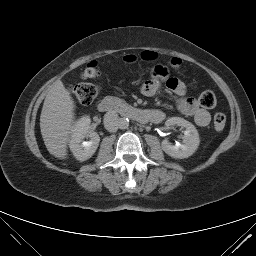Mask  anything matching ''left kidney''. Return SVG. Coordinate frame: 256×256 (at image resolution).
<instances>
[{
	"mask_svg": "<svg viewBox=\"0 0 256 256\" xmlns=\"http://www.w3.org/2000/svg\"><path fill=\"white\" fill-rule=\"evenodd\" d=\"M165 125L167 127L181 126L185 128L183 143L179 145H172L169 141L164 140L162 142L163 151L169 156L176 159L188 158L197 150L200 140L199 134L195 126L189 121L180 117H171L166 120Z\"/></svg>",
	"mask_w": 256,
	"mask_h": 256,
	"instance_id": "obj_1",
	"label": "left kidney"
}]
</instances>
